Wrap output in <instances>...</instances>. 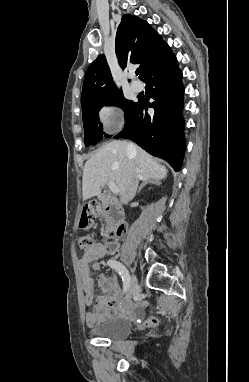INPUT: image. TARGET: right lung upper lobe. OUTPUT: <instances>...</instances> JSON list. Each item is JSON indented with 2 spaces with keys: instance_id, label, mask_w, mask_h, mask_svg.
<instances>
[{
  "instance_id": "right-lung-upper-lobe-1",
  "label": "right lung upper lobe",
  "mask_w": 249,
  "mask_h": 382,
  "mask_svg": "<svg viewBox=\"0 0 249 382\" xmlns=\"http://www.w3.org/2000/svg\"><path fill=\"white\" fill-rule=\"evenodd\" d=\"M115 50L122 68L128 62L139 64L141 77H145L153 65L172 53L168 44L147 22L132 15L122 17L117 29ZM118 94H122V91L113 82L105 56L100 55L86 72L81 95L82 109L94 100Z\"/></svg>"
}]
</instances>
